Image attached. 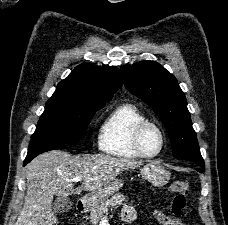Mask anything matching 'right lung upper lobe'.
Instances as JSON below:
<instances>
[{"label": "right lung upper lobe", "mask_w": 228, "mask_h": 225, "mask_svg": "<svg viewBox=\"0 0 228 225\" xmlns=\"http://www.w3.org/2000/svg\"><path fill=\"white\" fill-rule=\"evenodd\" d=\"M121 87L117 67L81 64L62 80L51 98L105 104Z\"/></svg>", "instance_id": "right-lung-upper-lobe-1"}]
</instances>
